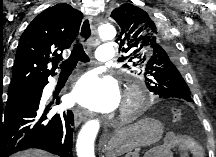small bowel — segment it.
Returning <instances> with one entry per match:
<instances>
[{
    "label": "small bowel",
    "instance_id": "c3829d8e",
    "mask_svg": "<svg viewBox=\"0 0 216 157\" xmlns=\"http://www.w3.org/2000/svg\"><path fill=\"white\" fill-rule=\"evenodd\" d=\"M174 151H178L180 157H204L203 147L192 137L170 132L160 150L159 157H173Z\"/></svg>",
    "mask_w": 216,
    "mask_h": 157
}]
</instances>
